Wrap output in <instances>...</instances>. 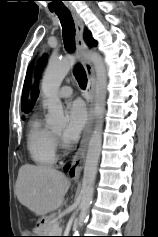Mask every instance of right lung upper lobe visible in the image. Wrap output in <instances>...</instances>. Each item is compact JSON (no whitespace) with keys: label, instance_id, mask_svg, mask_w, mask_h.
I'll use <instances>...</instances> for the list:
<instances>
[{"label":"right lung upper lobe","instance_id":"right-lung-upper-lobe-1","mask_svg":"<svg viewBox=\"0 0 158 237\" xmlns=\"http://www.w3.org/2000/svg\"><path fill=\"white\" fill-rule=\"evenodd\" d=\"M85 40L88 41V36L86 34H85ZM45 62H46V59L43 58L39 64V70L37 71V75H36L37 78L40 77L41 69L45 65ZM38 94H39V90L37 88V85H35L32 90L31 101H28L26 103L25 113L29 112L32 109L34 102L36 98L38 97Z\"/></svg>","mask_w":158,"mask_h":237}]
</instances>
